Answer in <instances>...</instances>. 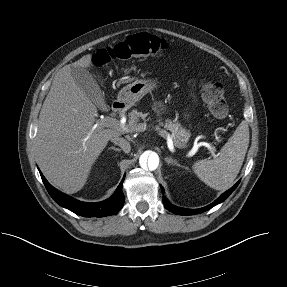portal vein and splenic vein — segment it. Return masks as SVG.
<instances>
[{"label":"portal vein and splenic vein","mask_w":287,"mask_h":287,"mask_svg":"<svg viewBox=\"0 0 287 287\" xmlns=\"http://www.w3.org/2000/svg\"><path fill=\"white\" fill-rule=\"evenodd\" d=\"M97 126L99 127H109V128H114L117 130H125V124L122 121H119L115 118L112 117H105L103 119H101L100 121L97 122V125L93 127V129H95ZM146 128V124L141 123V125L139 126L140 130H143ZM155 131L158 132V134L165 138L167 140V144L168 147L170 149H173L175 143L173 141V137L172 135H170L167 131L161 129L159 126H155ZM176 146V145H175ZM203 146L207 147V149L211 152V154L213 156H215V147L212 146L210 143H204ZM185 145H178V148H185Z\"/></svg>","instance_id":"1"}]
</instances>
